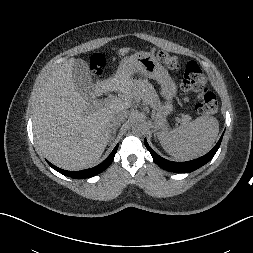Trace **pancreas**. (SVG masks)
I'll use <instances>...</instances> for the list:
<instances>
[{"mask_svg":"<svg viewBox=\"0 0 253 253\" xmlns=\"http://www.w3.org/2000/svg\"><path fill=\"white\" fill-rule=\"evenodd\" d=\"M127 88H128V91L133 90L136 92H141L143 98L147 101V103L151 104L155 108L160 104V100L158 98V95L155 89L148 82H144V81L131 82L130 81ZM189 120H186L185 122H188Z\"/></svg>","mask_w":253,"mask_h":253,"instance_id":"obj_1","label":"pancreas"}]
</instances>
